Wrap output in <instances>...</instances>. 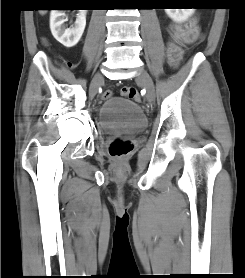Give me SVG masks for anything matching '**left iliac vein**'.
Instances as JSON below:
<instances>
[{"label":"left iliac vein","instance_id":"left-iliac-vein-1","mask_svg":"<svg viewBox=\"0 0 245 278\" xmlns=\"http://www.w3.org/2000/svg\"><path fill=\"white\" fill-rule=\"evenodd\" d=\"M136 80L142 83L146 89V98L152 103L155 99V87L152 78L146 70L139 69Z\"/></svg>","mask_w":245,"mask_h":278}]
</instances>
